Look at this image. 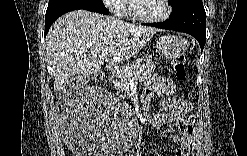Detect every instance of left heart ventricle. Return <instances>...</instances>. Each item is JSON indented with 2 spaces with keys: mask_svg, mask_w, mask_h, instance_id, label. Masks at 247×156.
<instances>
[{
  "mask_svg": "<svg viewBox=\"0 0 247 156\" xmlns=\"http://www.w3.org/2000/svg\"><path fill=\"white\" fill-rule=\"evenodd\" d=\"M136 11L142 16H158L164 12L162 1L146 0L135 2Z\"/></svg>",
  "mask_w": 247,
  "mask_h": 156,
  "instance_id": "b2bd125f",
  "label": "left heart ventricle"
}]
</instances>
